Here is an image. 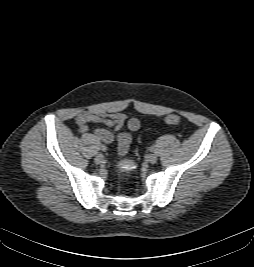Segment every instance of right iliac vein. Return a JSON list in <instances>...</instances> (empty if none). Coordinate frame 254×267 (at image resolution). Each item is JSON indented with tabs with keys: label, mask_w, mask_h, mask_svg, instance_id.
I'll return each mask as SVG.
<instances>
[{
	"label": "right iliac vein",
	"mask_w": 254,
	"mask_h": 267,
	"mask_svg": "<svg viewBox=\"0 0 254 267\" xmlns=\"http://www.w3.org/2000/svg\"><path fill=\"white\" fill-rule=\"evenodd\" d=\"M96 164H101L104 161V156L102 154H98L94 159Z\"/></svg>",
	"instance_id": "right-iliac-vein-1"
}]
</instances>
